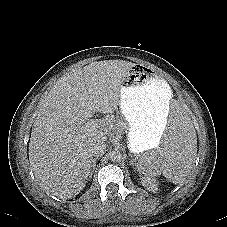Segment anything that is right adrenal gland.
I'll return each instance as SVG.
<instances>
[{"mask_svg":"<svg viewBox=\"0 0 227 227\" xmlns=\"http://www.w3.org/2000/svg\"><path fill=\"white\" fill-rule=\"evenodd\" d=\"M99 160V158H94L93 159V166H92V170H91V175L94 173V170L96 168V161Z\"/></svg>","mask_w":227,"mask_h":227,"instance_id":"2a0ac1e0","label":"right adrenal gland"}]
</instances>
